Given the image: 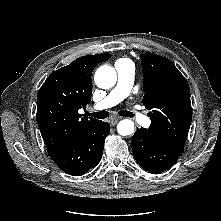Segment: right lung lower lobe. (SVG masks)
I'll list each match as a JSON object with an SVG mask.
<instances>
[{
    "mask_svg": "<svg viewBox=\"0 0 221 221\" xmlns=\"http://www.w3.org/2000/svg\"><path fill=\"white\" fill-rule=\"evenodd\" d=\"M109 132V123L99 120L49 155L62 171L73 176L84 175L99 163Z\"/></svg>",
    "mask_w": 221,
    "mask_h": 221,
    "instance_id": "obj_1",
    "label": "right lung lower lobe"
}]
</instances>
